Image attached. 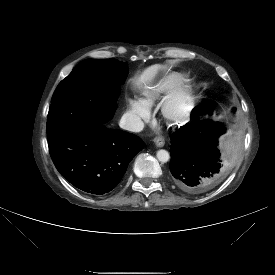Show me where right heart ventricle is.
<instances>
[{
    "label": "right heart ventricle",
    "mask_w": 275,
    "mask_h": 275,
    "mask_svg": "<svg viewBox=\"0 0 275 275\" xmlns=\"http://www.w3.org/2000/svg\"><path fill=\"white\" fill-rule=\"evenodd\" d=\"M177 72H168L160 76L150 85L144 87L138 96V102L150 109L168 92L177 79Z\"/></svg>",
    "instance_id": "1"
}]
</instances>
